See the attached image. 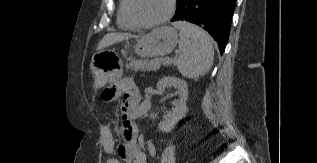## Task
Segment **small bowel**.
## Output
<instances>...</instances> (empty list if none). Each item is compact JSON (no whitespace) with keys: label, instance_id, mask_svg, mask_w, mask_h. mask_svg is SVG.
I'll list each match as a JSON object with an SVG mask.
<instances>
[{"label":"small bowel","instance_id":"obj_1","mask_svg":"<svg viewBox=\"0 0 317 163\" xmlns=\"http://www.w3.org/2000/svg\"><path fill=\"white\" fill-rule=\"evenodd\" d=\"M117 91L123 96L121 126L124 142L116 146L111 129L105 128L101 138V147L107 155L105 163H148L146 152L138 144L136 120L146 112V107L140 103L139 88L133 80L124 79L119 83ZM146 150L155 156L152 142L147 143Z\"/></svg>","mask_w":317,"mask_h":163}]
</instances>
